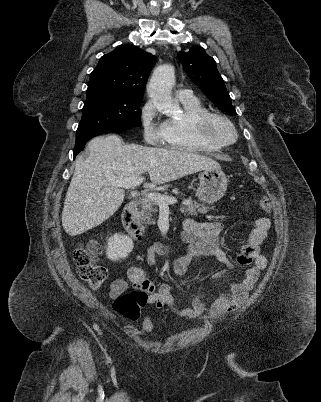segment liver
<instances>
[{"label": "liver", "mask_w": 321, "mask_h": 402, "mask_svg": "<svg viewBox=\"0 0 321 402\" xmlns=\"http://www.w3.org/2000/svg\"><path fill=\"white\" fill-rule=\"evenodd\" d=\"M89 156L79 155L66 193L62 226L70 236L80 235L110 218L121 206L125 191L113 179L148 172L151 183L164 184L205 169L220 168L213 159L179 149L123 145L118 135L92 139Z\"/></svg>", "instance_id": "liver-1"}]
</instances>
